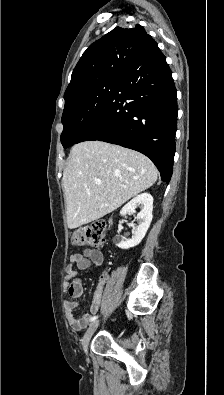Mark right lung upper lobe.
<instances>
[{"mask_svg": "<svg viewBox=\"0 0 224 395\" xmlns=\"http://www.w3.org/2000/svg\"><path fill=\"white\" fill-rule=\"evenodd\" d=\"M150 37L137 24L134 28L116 27L91 44L73 70L64 97L98 80L122 77Z\"/></svg>", "mask_w": 224, "mask_h": 395, "instance_id": "right-lung-upper-lobe-1", "label": "right lung upper lobe"}]
</instances>
